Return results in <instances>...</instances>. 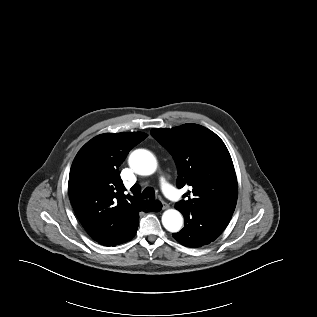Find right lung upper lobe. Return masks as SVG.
Returning <instances> with one entry per match:
<instances>
[{"mask_svg": "<svg viewBox=\"0 0 317 317\" xmlns=\"http://www.w3.org/2000/svg\"><path fill=\"white\" fill-rule=\"evenodd\" d=\"M146 137L142 132L98 135L72 163L68 183L72 207L87 233L104 238L106 246L123 243L139 212L157 202L141 200L136 185L131 188L133 195L126 194L118 173L128 152Z\"/></svg>", "mask_w": 317, "mask_h": 317, "instance_id": "obj_1", "label": "right lung upper lobe"}]
</instances>
